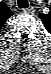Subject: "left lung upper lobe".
I'll return each instance as SVG.
<instances>
[{
    "mask_svg": "<svg viewBox=\"0 0 51 74\" xmlns=\"http://www.w3.org/2000/svg\"><path fill=\"white\" fill-rule=\"evenodd\" d=\"M40 18L44 20L45 16L40 15Z\"/></svg>",
    "mask_w": 51,
    "mask_h": 74,
    "instance_id": "1",
    "label": "left lung upper lobe"
}]
</instances>
